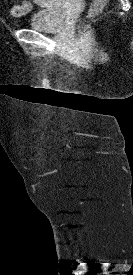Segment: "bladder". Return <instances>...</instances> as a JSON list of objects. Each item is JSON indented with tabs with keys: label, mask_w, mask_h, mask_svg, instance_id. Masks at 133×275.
Listing matches in <instances>:
<instances>
[{
	"label": "bladder",
	"mask_w": 133,
	"mask_h": 275,
	"mask_svg": "<svg viewBox=\"0 0 133 275\" xmlns=\"http://www.w3.org/2000/svg\"><path fill=\"white\" fill-rule=\"evenodd\" d=\"M53 4L34 11L28 20L30 29L44 32H58L63 24V0H51Z\"/></svg>",
	"instance_id": "obj_1"
}]
</instances>
